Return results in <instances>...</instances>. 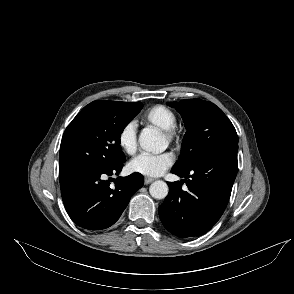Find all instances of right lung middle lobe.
Wrapping results in <instances>:
<instances>
[{"instance_id": "dd1d6c3e", "label": "right lung middle lobe", "mask_w": 294, "mask_h": 294, "mask_svg": "<svg viewBox=\"0 0 294 294\" xmlns=\"http://www.w3.org/2000/svg\"><path fill=\"white\" fill-rule=\"evenodd\" d=\"M141 102L94 101L67 126L59 153V174L110 168L125 162L120 147L124 128L142 109Z\"/></svg>"}]
</instances>
